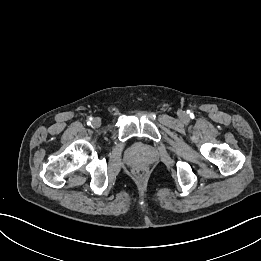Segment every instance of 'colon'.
Masks as SVG:
<instances>
[{
	"mask_svg": "<svg viewBox=\"0 0 261 261\" xmlns=\"http://www.w3.org/2000/svg\"><path fill=\"white\" fill-rule=\"evenodd\" d=\"M144 173H145V171L143 170V169H138L137 171H136V174L138 175V176H143L144 175Z\"/></svg>",
	"mask_w": 261,
	"mask_h": 261,
	"instance_id": "colon-1",
	"label": "colon"
}]
</instances>
